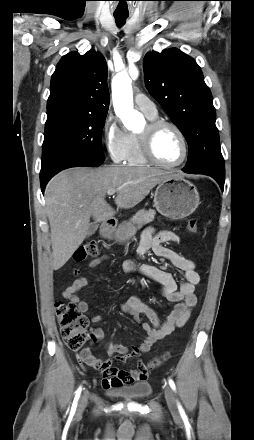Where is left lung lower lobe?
Segmentation results:
<instances>
[{"label":"left lung lower lobe","mask_w":254,"mask_h":440,"mask_svg":"<svg viewBox=\"0 0 254 440\" xmlns=\"http://www.w3.org/2000/svg\"><path fill=\"white\" fill-rule=\"evenodd\" d=\"M186 173H188V172H186ZM203 174H206V175H209V176L213 177L219 183L221 189L223 190V188H224V181H225V175H219V174H216L214 172H203Z\"/></svg>","instance_id":"obj_1"}]
</instances>
